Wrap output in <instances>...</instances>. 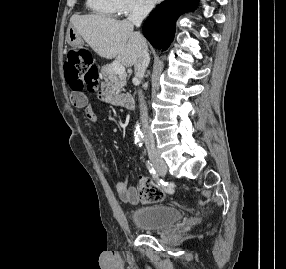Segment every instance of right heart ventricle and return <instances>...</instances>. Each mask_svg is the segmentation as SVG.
I'll list each match as a JSON object with an SVG mask.
<instances>
[{"mask_svg": "<svg viewBox=\"0 0 286 269\" xmlns=\"http://www.w3.org/2000/svg\"><path fill=\"white\" fill-rule=\"evenodd\" d=\"M86 7L98 16L112 18L118 14L117 0H86Z\"/></svg>", "mask_w": 286, "mask_h": 269, "instance_id": "obj_1", "label": "right heart ventricle"}]
</instances>
